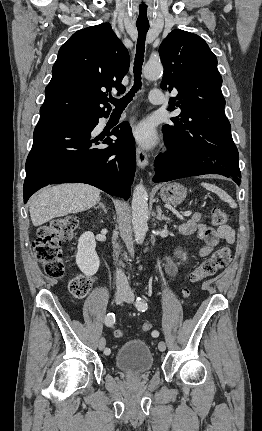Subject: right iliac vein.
<instances>
[{
	"mask_svg": "<svg viewBox=\"0 0 262 431\" xmlns=\"http://www.w3.org/2000/svg\"><path fill=\"white\" fill-rule=\"evenodd\" d=\"M126 297H127V294L125 292L117 291L115 294V301L117 304H120L121 302H123L125 300ZM105 346H106V340L104 337H101L99 339V342H98L99 350H101V351L104 350Z\"/></svg>",
	"mask_w": 262,
	"mask_h": 431,
	"instance_id": "obj_1",
	"label": "right iliac vein"
}]
</instances>
